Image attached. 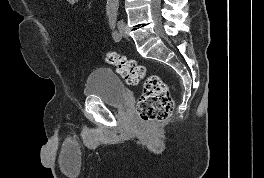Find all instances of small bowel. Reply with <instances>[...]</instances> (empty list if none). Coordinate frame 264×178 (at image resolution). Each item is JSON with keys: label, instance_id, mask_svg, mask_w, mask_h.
Wrapping results in <instances>:
<instances>
[{"label": "small bowel", "instance_id": "1", "mask_svg": "<svg viewBox=\"0 0 264 178\" xmlns=\"http://www.w3.org/2000/svg\"><path fill=\"white\" fill-rule=\"evenodd\" d=\"M68 4L71 6H78L81 2V0H66Z\"/></svg>", "mask_w": 264, "mask_h": 178}]
</instances>
